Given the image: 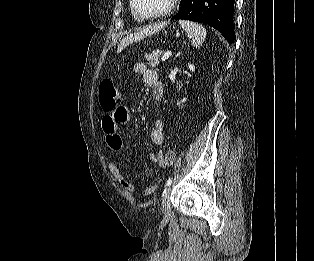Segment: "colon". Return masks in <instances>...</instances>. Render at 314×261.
<instances>
[{
    "label": "colon",
    "instance_id": "1",
    "mask_svg": "<svg viewBox=\"0 0 314 261\" xmlns=\"http://www.w3.org/2000/svg\"><path fill=\"white\" fill-rule=\"evenodd\" d=\"M122 101V92L112 80H104L100 85L99 104L101 109L108 114L109 109H118ZM173 153L167 152L163 157V165L173 164Z\"/></svg>",
    "mask_w": 314,
    "mask_h": 261
}]
</instances>
